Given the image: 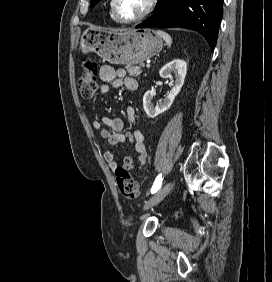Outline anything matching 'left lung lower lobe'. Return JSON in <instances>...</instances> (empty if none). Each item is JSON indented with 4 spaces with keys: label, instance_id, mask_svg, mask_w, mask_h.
<instances>
[{
    "label": "left lung lower lobe",
    "instance_id": "obj_1",
    "mask_svg": "<svg viewBox=\"0 0 272 282\" xmlns=\"http://www.w3.org/2000/svg\"><path fill=\"white\" fill-rule=\"evenodd\" d=\"M224 0H158L155 13L136 28L182 27L192 29L216 45Z\"/></svg>",
    "mask_w": 272,
    "mask_h": 282
}]
</instances>
